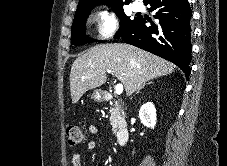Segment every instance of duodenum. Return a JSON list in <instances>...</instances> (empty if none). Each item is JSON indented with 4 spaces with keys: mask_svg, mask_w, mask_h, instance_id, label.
<instances>
[{
    "mask_svg": "<svg viewBox=\"0 0 227 166\" xmlns=\"http://www.w3.org/2000/svg\"><path fill=\"white\" fill-rule=\"evenodd\" d=\"M108 99L112 100L113 98L111 96L108 97ZM129 139V131L126 127H122L117 132V141L119 145H124Z\"/></svg>",
    "mask_w": 227,
    "mask_h": 166,
    "instance_id": "obj_1",
    "label": "duodenum"
}]
</instances>
